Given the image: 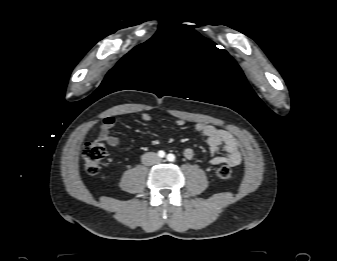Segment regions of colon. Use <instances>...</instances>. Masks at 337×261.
<instances>
[{
  "label": "colon",
  "mask_w": 337,
  "mask_h": 261,
  "mask_svg": "<svg viewBox=\"0 0 337 261\" xmlns=\"http://www.w3.org/2000/svg\"><path fill=\"white\" fill-rule=\"evenodd\" d=\"M105 155L106 145L104 140L97 139L86 143L82 152L86 172L90 175L97 174ZM216 174L220 179L228 180L232 177V170L229 166L222 165L218 167Z\"/></svg>",
  "instance_id": "obj_1"
}]
</instances>
